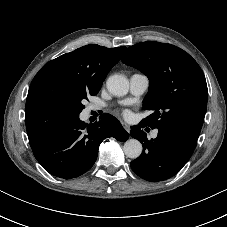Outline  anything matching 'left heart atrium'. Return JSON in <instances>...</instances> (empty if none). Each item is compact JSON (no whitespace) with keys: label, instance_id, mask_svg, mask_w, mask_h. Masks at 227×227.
<instances>
[{"label":"left heart atrium","instance_id":"39dd6f15","mask_svg":"<svg viewBox=\"0 0 227 227\" xmlns=\"http://www.w3.org/2000/svg\"><path fill=\"white\" fill-rule=\"evenodd\" d=\"M123 114H124L125 116H128V115H129V111H128V110H124V111H123Z\"/></svg>","mask_w":227,"mask_h":227}]
</instances>
